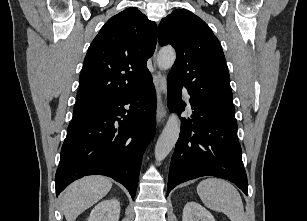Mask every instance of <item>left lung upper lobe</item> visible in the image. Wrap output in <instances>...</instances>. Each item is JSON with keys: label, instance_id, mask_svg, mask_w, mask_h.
<instances>
[{"label": "left lung upper lobe", "instance_id": "1", "mask_svg": "<svg viewBox=\"0 0 307 221\" xmlns=\"http://www.w3.org/2000/svg\"><path fill=\"white\" fill-rule=\"evenodd\" d=\"M158 39L176 50L168 77L184 85L194 100L236 121L225 56L210 27L188 10H175L161 20Z\"/></svg>", "mask_w": 307, "mask_h": 221}]
</instances>
